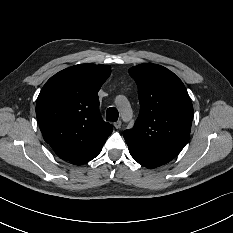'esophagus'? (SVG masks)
<instances>
[{"instance_id": "1", "label": "esophagus", "mask_w": 233, "mask_h": 233, "mask_svg": "<svg viewBox=\"0 0 233 233\" xmlns=\"http://www.w3.org/2000/svg\"><path fill=\"white\" fill-rule=\"evenodd\" d=\"M113 125H114V127L116 129H119L121 127V125H122V122L121 121H117V122H114Z\"/></svg>"}]
</instances>
